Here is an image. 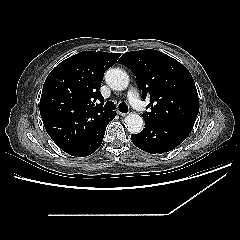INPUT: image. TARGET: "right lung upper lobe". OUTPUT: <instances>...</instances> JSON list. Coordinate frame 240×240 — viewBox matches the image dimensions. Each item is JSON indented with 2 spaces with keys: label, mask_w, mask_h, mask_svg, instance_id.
I'll return each instance as SVG.
<instances>
[{
  "label": "right lung upper lobe",
  "mask_w": 240,
  "mask_h": 240,
  "mask_svg": "<svg viewBox=\"0 0 240 240\" xmlns=\"http://www.w3.org/2000/svg\"><path fill=\"white\" fill-rule=\"evenodd\" d=\"M120 54L83 51L58 64L47 76L40 114L48 135L63 151L92 139L110 112H103L99 89L104 72ZM100 100V104L95 102Z\"/></svg>",
  "instance_id": "obj_1"
}]
</instances>
